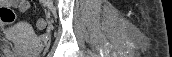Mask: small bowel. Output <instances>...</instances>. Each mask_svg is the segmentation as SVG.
<instances>
[{
	"instance_id": "c3829d8e",
	"label": "small bowel",
	"mask_w": 172,
	"mask_h": 57,
	"mask_svg": "<svg viewBox=\"0 0 172 57\" xmlns=\"http://www.w3.org/2000/svg\"><path fill=\"white\" fill-rule=\"evenodd\" d=\"M14 4L20 6L21 9H24L27 6V1L18 0V1H14Z\"/></svg>"
}]
</instances>
